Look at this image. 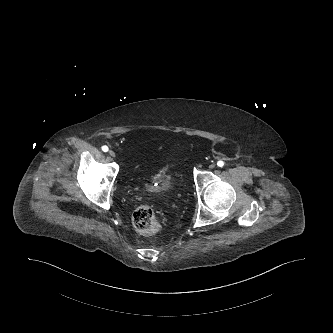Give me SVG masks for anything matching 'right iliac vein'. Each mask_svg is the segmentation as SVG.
<instances>
[{
    "mask_svg": "<svg viewBox=\"0 0 333 333\" xmlns=\"http://www.w3.org/2000/svg\"><path fill=\"white\" fill-rule=\"evenodd\" d=\"M108 153H109V155H110L111 157H115V155H116L115 152H114L113 150H110Z\"/></svg>",
    "mask_w": 333,
    "mask_h": 333,
    "instance_id": "obj_1",
    "label": "right iliac vein"
}]
</instances>
